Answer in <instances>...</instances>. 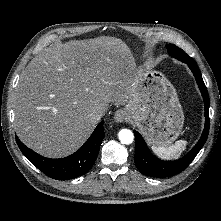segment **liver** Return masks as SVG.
<instances>
[{
	"label": "liver",
	"mask_w": 221,
	"mask_h": 221,
	"mask_svg": "<svg viewBox=\"0 0 221 221\" xmlns=\"http://www.w3.org/2000/svg\"><path fill=\"white\" fill-rule=\"evenodd\" d=\"M134 58L121 39L71 40L36 55L21 73L14 126L35 152L65 157L89 138L92 111L125 104L133 94Z\"/></svg>",
	"instance_id": "obj_1"
}]
</instances>
